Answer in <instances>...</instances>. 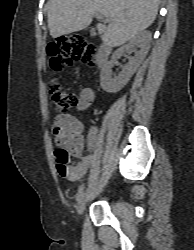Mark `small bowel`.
I'll list each match as a JSON object with an SVG mask.
<instances>
[{
	"instance_id": "obj_1",
	"label": "small bowel",
	"mask_w": 194,
	"mask_h": 250,
	"mask_svg": "<svg viewBox=\"0 0 194 250\" xmlns=\"http://www.w3.org/2000/svg\"><path fill=\"white\" fill-rule=\"evenodd\" d=\"M94 91L83 88L79 94V109L88 108L94 101ZM54 140L59 149H64L72 157L79 159L78 162L70 163L67 169L57 165L58 173L70 180L80 179L89 169L92 163V155L85 154V147L91 151L97 141V129H90L87 140L84 137V124L75 116L68 113L58 114L52 126Z\"/></svg>"
}]
</instances>
